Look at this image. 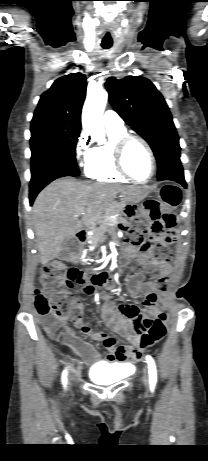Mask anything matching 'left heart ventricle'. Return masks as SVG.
Wrapping results in <instances>:
<instances>
[{
  "label": "left heart ventricle",
  "mask_w": 208,
  "mask_h": 461,
  "mask_svg": "<svg viewBox=\"0 0 208 461\" xmlns=\"http://www.w3.org/2000/svg\"><path fill=\"white\" fill-rule=\"evenodd\" d=\"M125 165L132 176L145 180L151 172V161L145 147L139 142H132L125 154Z\"/></svg>",
  "instance_id": "1"
}]
</instances>
